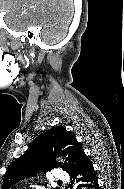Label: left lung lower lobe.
Returning a JSON list of instances; mask_svg holds the SVG:
<instances>
[{
    "instance_id": "1",
    "label": "left lung lower lobe",
    "mask_w": 124,
    "mask_h": 189,
    "mask_svg": "<svg viewBox=\"0 0 124 189\" xmlns=\"http://www.w3.org/2000/svg\"><path fill=\"white\" fill-rule=\"evenodd\" d=\"M70 176L73 180L78 176V179L76 180L81 183L78 188L99 189L98 177L96 176L92 161L87 155L82 157L78 169L74 173L70 174Z\"/></svg>"
}]
</instances>
